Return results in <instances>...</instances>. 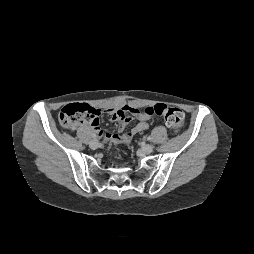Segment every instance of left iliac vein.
<instances>
[{
    "instance_id": "4c4485c4",
    "label": "left iliac vein",
    "mask_w": 254,
    "mask_h": 254,
    "mask_svg": "<svg viewBox=\"0 0 254 254\" xmlns=\"http://www.w3.org/2000/svg\"><path fill=\"white\" fill-rule=\"evenodd\" d=\"M142 151L145 154H150L153 151V146L151 144H145L142 146Z\"/></svg>"
}]
</instances>
